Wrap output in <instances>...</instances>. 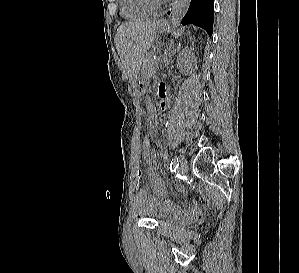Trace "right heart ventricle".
I'll list each match as a JSON object with an SVG mask.
<instances>
[{"mask_svg":"<svg viewBox=\"0 0 299 273\" xmlns=\"http://www.w3.org/2000/svg\"><path fill=\"white\" fill-rule=\"evenodd\" d=\"M121 15L130 21L143 20L150 16L151 12L144 8L139 0H121Z\"/></svg>","mask_w":299,"mask_h":273,"instance_id":"1","label":"right heart ventricle"}]
</instances>
